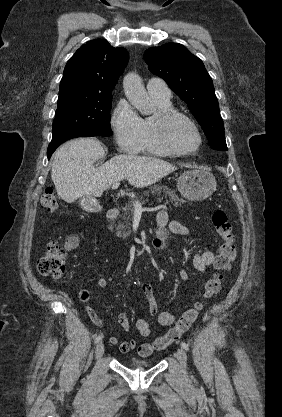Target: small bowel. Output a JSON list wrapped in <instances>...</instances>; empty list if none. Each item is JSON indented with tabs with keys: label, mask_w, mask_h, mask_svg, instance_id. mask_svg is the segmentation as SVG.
<instances>
[{
	"label": "small bowel",
	"mask_w": 282,
	"mask_h": 417,
	"mask_svg": "<svg viewBox=\"0 0 282 417\" xmlns=\"http://www.w3.org/2000/svg\"><path fill=\"white\" fill-rule=\"evenodd\" d=\"M157 222V229L155 232V237L153 239V244L155 247L159 248V244L162 243L164 245L165 238L167 237L168 233H172L178 236L189 237L193 235L192 229L178 220H170L168 212L166 210H160L156 217ZM83 234H73L67 237L65 245L68 249L75 248L80 240L83 238ZM163 247V246H162ZM161 247V248H162ZM213 262H217V255L211 250H202L198 249L193 257V266L194 268L200 272H205L208 266H211ZM179 276L182 280L188 279V273L181 269L179 271ZM108 285V280L105 277H98L96 279V286L100 289L106 288ZM140 290L144 293L147 301L150 305H154L155 303V294L154 290L151 285L148 283H140L139 284ZM92 295V290L88 288H84L79 292V298L83 302H87L90 300ZM87 314L91 321L98 327H102L103 322L99 315L97 314L96 310L88 305L86 307ZM153 316L156 319V322L165 327H169L170 323H174L175 318H181L175 316L173 313L168 311H161L158 312L157 310L152 311ZM117 321L122 328L123 331L129 332L131 330L132 324L125 313H119L117 315ZM136 329L138 333L142 337H148L151 334V322L147 319L140 318L135 322ZM109 342L112 345L118 346L119 351L121 353H128L137 348V342L134 339H126L121 340L116 336H111L109 338ZM147 344V343H143Z\"/></svg>",
	"instance_id": "obj_1"
}]
</instances>
